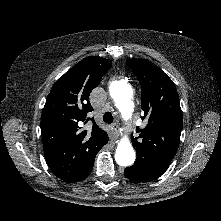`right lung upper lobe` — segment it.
Returning a JSON list of instances; mask_svg holds the SVG:
<instances>
[{
    "mask_svg": "<svg viewBox=\"0 0 221 221\" xmlns=\"http://www.w3.org/2000/svg\"><path fill=\"white\" fill-rule=\"evenodd\" d=\"M111 66L109 59L89 56L60 77L47 96L41 116L44 152L49 167L63 181H80L109 140L94 119L91 130L82 126L93 110L89 95Z\"/></svg>",
    "mask_w": 221,
    "mask_h": 221,
    "instance_id": "right-lung-upper-lobe-1",
    "label": "right lung upper lobe"
}]
</instances>
